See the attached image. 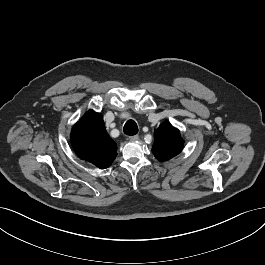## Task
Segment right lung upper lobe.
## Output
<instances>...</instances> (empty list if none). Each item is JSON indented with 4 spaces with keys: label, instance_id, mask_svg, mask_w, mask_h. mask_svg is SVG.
Returning <instances> with one entry per match:
<instances>
[{
    "label": "right lung upper lobe",
    "instance_id": "right-lung-upper-lobe-1",
    "mask_svg": "<svg viewBox=\"0 0 265 265\" xmlns=\"http://www.w3.org/2000/svg\"><path fill=\"white\" fill-rule=\"evenodd\" d=\"M70 140L79 158L100 169L108 168L117 156L116 143L106 132L102 115L93 110L75 124Z\"/></svg>",
    "mask_w": 265,
    "mask_h": 265
}]
</instances>
